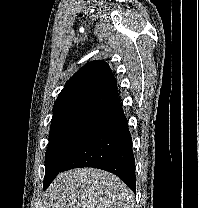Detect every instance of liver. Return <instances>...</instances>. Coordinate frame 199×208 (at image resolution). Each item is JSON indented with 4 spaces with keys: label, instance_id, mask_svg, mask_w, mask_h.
I'll use <instances>...</instances> for the list:
<instances>
[{
    "label": "liver",
    "instance_id": "6515ba94",
    "mask_svg": "<svg viewBox=\"0 0 199 208\" xmlns=\"http://www.w3.org/2000/svg\"><path fill=\"white\" fill-rule=\"evenodd\" d=\"M45 208H134V198L112 173L78 168L57 175L46 190Z\"/></svg>",
    "mask_w": 199,
    "mask_h": 208
}]
</instances>
